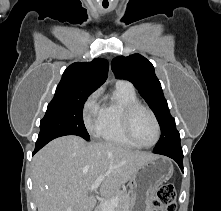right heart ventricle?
Returning <instances> with one entry per match:
<instances>
[{
	"label": "right heart ventricle",
	"instance_id": "obj_1",
	"mask_svg": "<svg viewBox=\"0 0 221 211\" xmlns=\"http://www.w3.org/2000/svg\"><path fill=\"white\" fill-rule=\"evenodd\" d=\"M138 102L133 87L116 84L110 99L102 106L101 124L96 132L98 138L115 145L136 147L128 140L123 131L122 112L127 105Z\"/></svg>",
	"mask_w": 221,
	"mask_h": 211
}]
</instances>
